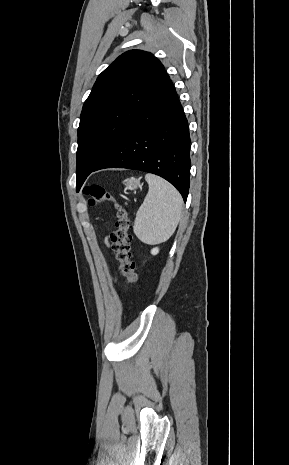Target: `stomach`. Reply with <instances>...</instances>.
Instances as JSON below:
<instances>
[{"instance_id": "1", "label": "stomach", "mask_w": 289, "mask_h": 465, "mask_svg": "<svg viewBox=\"0 0 289 465\" xmlns=\"http://www.w3.org/2000/svg\"><path fill=\"white\" fill-rule=\"evenodd\" d=\"M124 185L125 190H134L138 187H141L140 179H136L134 177L126 179Z\"/></svg>"}]
</instances>
